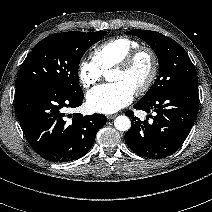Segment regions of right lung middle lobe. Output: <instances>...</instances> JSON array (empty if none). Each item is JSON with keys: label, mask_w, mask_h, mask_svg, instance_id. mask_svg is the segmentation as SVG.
I'll return each mask as SVG.
<instances>
[{"label": "right lung middle lobe", "mask_w": 212, "mask_h": 212, "mask_svg": "<svg viewBox=\"0 0 212 212\" xmlns=\"http://www.w3.org/2000/svg\"><path fill=\"white\" fill-rule=\"evenodd\" d=\"M106 32L70 31L41 40L24 60L15 87L49 85L70 95L82 94L78 65L86 50Z\"/></svg>", "instance_id": "obj_1"}]
</instances>
